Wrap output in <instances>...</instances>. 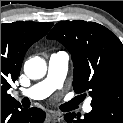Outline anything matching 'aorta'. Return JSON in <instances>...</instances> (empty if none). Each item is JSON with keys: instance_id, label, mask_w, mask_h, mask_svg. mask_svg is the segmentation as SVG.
I'll return each instance as SVG.
<instances>
[{"instance_id": "1", "label": "aorta", "mask_w": 123, "mask_h": 123, "mask_svg": "<svg viewBox=\"0 0 123 123\" xmlns=\"http://www.w3.org/2000/svg\"><path fill=\"white\" fill-rule=\"evenodd\" d=\"M46 71V62L40 57L30 58L24 64V72L30 79H41Z\"/></svg>"}]
</instances>
